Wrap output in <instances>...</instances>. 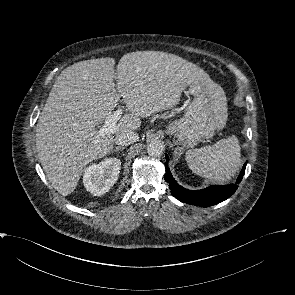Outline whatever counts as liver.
Instances as JSON below:
<instances>
[{
    "label": "liver",
    "instance_id": "liver-1",
    "mask_svg": "<svg viewBox=\"0 0 295 295\" xmlns=\"http://www.w3.org/2000/svg\"><path fill=\"white\" fill-rule=\"evenodd\" d=\"M116 79L117 84L114 83ZM197 65L174 54L137 51L115 59L77 62L55 81L36 127V148L44 172L62 196L77 187L86 165L105 157L114 137L141 127V119L173 109L191 84L209 80ZM125 114L115 135L100 136L96 126L118 106Z\"/></svg>",
    "mask_w": 295,
    "mask_h": 295
}]
</instances>
